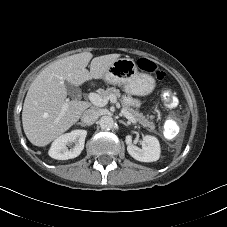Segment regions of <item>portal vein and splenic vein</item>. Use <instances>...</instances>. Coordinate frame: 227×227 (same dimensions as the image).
I'll use <instances>...</instances> for the list:
<instances>
[{
    "label": "portal vein and splenic vein",
    "mask_w": 227,
    "mask_h": 227,
    "mask_svg": "<svg viewBox=\"0 0 227 227\" xmlns=\"http://www.w3.org/2000/svg\"><path fill=\"white\" fill-rule=\"evenodd\" d=\"M89 100L91 101V103L95 106L98 107H104L105 105L108 104V102L110 101L111 103H114L116 105H119V103L117 102V98L114 95H110L108 97H102L99 94L96 93H90L89 94ZM67 105H64L62 108V113L66 110ZM121 113L132 123H136V120L134 119V117L125 109H121Z\"/></svg>",
    "instance_id": "18ae733b"
}]
</instances>
